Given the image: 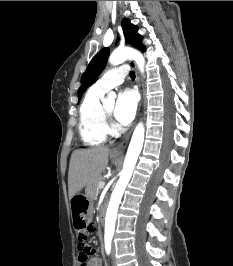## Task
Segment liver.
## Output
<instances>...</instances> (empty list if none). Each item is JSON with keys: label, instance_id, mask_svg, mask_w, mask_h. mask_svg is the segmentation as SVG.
I'll return each instance as SVG.
<instances>
[{"label": "liver", "instance_id": "6515ba94", "mask_svg": "<svg viewBox=\"0 0 233 266\" xmlns=\"http://www.w3.org/2000/svg\"><path fill=\"white\" fill-rule=\"evenodd\" d=\"M108 147H93L75 150L70 159L68 192L72 199L85 186L98 179L108 165Z\"/></svg>", "mask_w": 233, "mask_h": 266}]
</instances>
